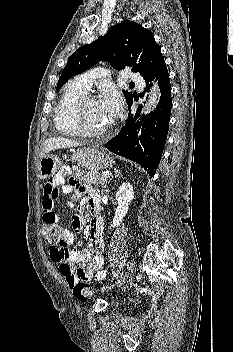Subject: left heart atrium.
<instances>
[{
  "mask_svg": "<svg viewBox=\"0 0 233 352\" xmlns=\"http://www.w3.org/2000/svg\"><path fill=\"white\" fill-rule=\"evenodd\" d=\"M98 102L110 122L119 115L122 109V100L119 94L112 89L106 90Z\"/></svg>",
  "mask_w": 233,
  "mask_h": 352,
  "instance_id": "left-heart-atrium-1",
  "label": "left heart atrium"
}]
</instances>
